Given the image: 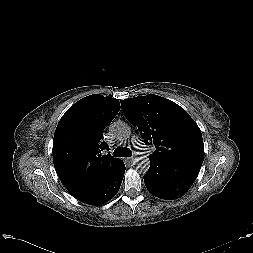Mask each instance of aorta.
<instances>
[{
    "mask_svg": "<svg viewBox=\"0 0 253 253\" xmlns=\"http://www.w3.org/2000/svg\"><path fill=\"white\" fill-rule=\"evenodd\" d=\"M110 130L116 138L121 140L129 138L131 135L130 127L123 122L113 123L110 127ZM134 162L136 169L141 173L147 172L150 167V161L147 156L138 157Z\"/></svg>",
    "mask_w": 253,
    "mask_h": 253,
    "instance_id": "1",
    "label": "aorta"
}]
</instances>
